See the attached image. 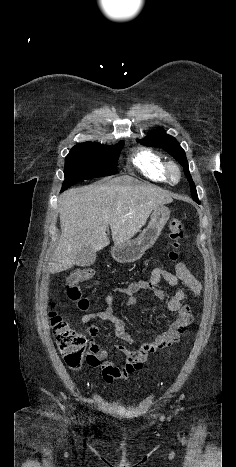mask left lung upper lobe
<instances>
[{"label":"left lung upper lobe","instance_id":"left-lung-upper-lobe-1","mask_svg":"<svg viewBox=\"0 0 236 467\" xmlns=\"http://www.w3.org/2000/svg\"><path fill=\"white\" fill-rule=\"evenodd\" d=\"M138 142L146 146L163 148L167 153L172 155L184 168L185 175L191 188L192 198L198 200L196 187L189 173L186 154L174 137L167 135L162 129H159L150 133L146 138L138 140Z\"/></svg>","mask_w":236,"mask_h":467}]
</instances>
